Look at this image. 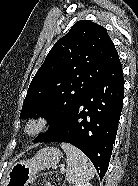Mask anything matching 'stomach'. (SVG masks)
I'll list each match as a JSON object with an SVG mask.
<instances>
[{"instance_id":"1","label":"stomach","mask_w":138,"mask_h":186,"mask_svg":"<svg viewBox=\"0 0 138 186\" xmlns=\"http://www.w3.org/2000/svg\"><path fill=\"white\" fill-rule=\"evenodd\" d=\"M61 158L59 149L43 148L33 158L13 164L6 174L4 186H29L38 171L55 167Z\"/></svg>"}]
</instances>
